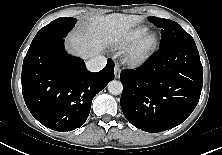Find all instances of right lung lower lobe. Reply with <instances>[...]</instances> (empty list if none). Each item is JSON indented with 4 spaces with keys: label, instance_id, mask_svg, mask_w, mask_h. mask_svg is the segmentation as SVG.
<instances>
[{
    "label": "right lung lower lobe",
    "instance_id": "98d812e1",
    "mask_svg": "<svg viewBox=\"0 0 222 155\" xmlns=\"http://www.w3.org/2000/svg\"><path fill=\"white\" fill-rule=\"evenodd\" d=\"M114 79V64L92 73L79 57L67 54L64 39L46 42L26 54L22 67V93L31 114L59 132L84 124L93 97Z\"/></svg>",
    "mask_w": 222,
    "mask_h": 155
}]
</instances>
